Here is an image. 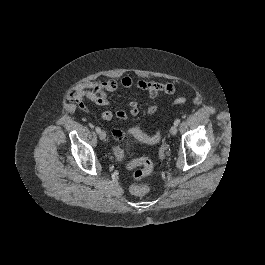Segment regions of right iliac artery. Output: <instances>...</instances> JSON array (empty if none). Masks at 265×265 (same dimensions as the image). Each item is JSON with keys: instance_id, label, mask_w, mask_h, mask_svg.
Returning <instances> with one entry per match:
<instances>
[{"instance_id": "1", "label": "right iliac artery", "mask_w": 265, "mask_h": 265, "mask_svg": "<svg viewBox=\"0 0 265 265\" xmlns=\"http://www.w3.org/2000/svg\"><path fill=\"white\" fill-rule=\"evenodd\" d=\"M95 130H96L97 133H100V131H101L100 127H96Z\"/></svg>"}]
</instances>
